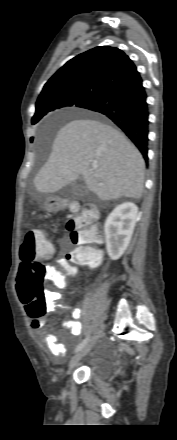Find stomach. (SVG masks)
Segmentation results:
<instances>
[{
	"mask_svg": "<svg viewBox=\"0 0 177 440\" xmlns=\"http://www.w3.org/2000/svg\"><path fill=\"white\" fill-rule=\"evenodd\" d=\"M45 207H46L47 209H51V208H52V205L50 204V200H49V199L46 200V202H45Z\"/></svg>",
	"mask_w": 177,
	"mask_h": 440,
	"instance_id": "0dacf381",
	"label": "stomach"
}]
</instances>
